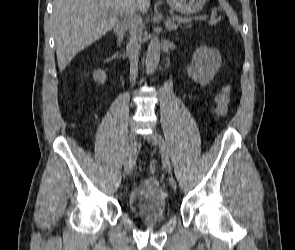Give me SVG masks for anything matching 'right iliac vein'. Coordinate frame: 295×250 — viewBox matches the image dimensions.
Here are the masks:
<instances>
[{
	"instance_id": "obj_1",
	"label": "right iliac vein",
	"mask_w": 295,
	"mask_h": 250,
	"mask_svg": "<svg viewBox=\"0 0 295 250\" xmlns=\"http://www.w3.org/2000/svg\"><path fill=\"white\" fill-rule=\"evenodd\" d=\"M135 141H136V135L134 133H130L127 139L126 153H125V159H124V173L126 175H129L132 171V166L129 165L128 160L131 156L135 154V151H134Z\"/></svg>"
}]
</instances>
